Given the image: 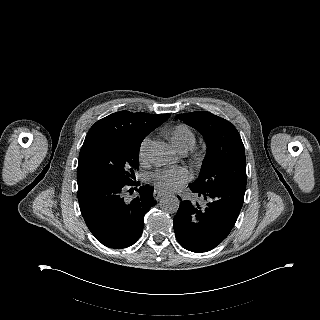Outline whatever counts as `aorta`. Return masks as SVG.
Here are the masks:
<instances>
[{
  "mask_svg": "<svg viewBox=\"0 0 320 320\" xmlns=\"http://www.w3.org/2000/svg\"><path fill=\"white\" fill-rule=\"evenodd\" d=\"M148 156L155 165L164 166L170 161L172 152L166 143L156 142L149 148ZM179 204V199L171 194L163 196L160 200V208L167 213H176Z\"/></svg>",
  "mask_w": 320,
  "mask_h": 320,
  "instance_id": "762f6f07",
  "label": "aorta"
}]
</instances>
